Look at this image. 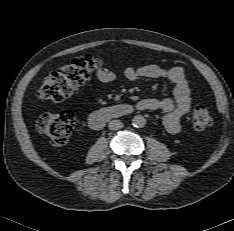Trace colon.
Segmentation results:
<instances>
[{"label": "colon", "instance_id": "colon-1", "mask_svg": "<svg viewBox=\"0 0 234 231\" xmlns=\"http://www.w3.org/2000/svg\"><path fill=\"white\" fill-rule=\"evenodd\" d=\"M105 64L104 60L92 55L75 58L43 80L38 89V97L44 100L62 101L94 74L103 70ZM191 121L195 130L205 131L211 126L212 117L206 106L198 104L192 112ZM75 123L74 114L64 111L41 114L37 126L54 145L59 146L68 141Z\"/></svg>", "mask_w": 234, "mask_h": 231}]
</instances>
